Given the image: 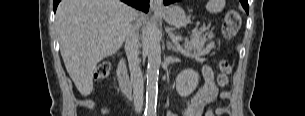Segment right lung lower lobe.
I'll return each instance as SVG.
<instances>
[{"label": "right lung lower lobe", "instance_id": "right-lung-lower-lobe-1", "mask_svg": "<svg viewBox=\"0 0 305 116\" xmlns=\"http://www.w3.org/2000/svg\"><path fill=\"white\" fill-rule=\"evenodd\" d=\"M125 3H127L130 6H133L137 9H140L144 12H148L149 10V0H121ZM60 0H54L53 7H54V12L59 4Z\"/></svg>", "mask_w": 305, "mask_h": 116}]
</instances>
